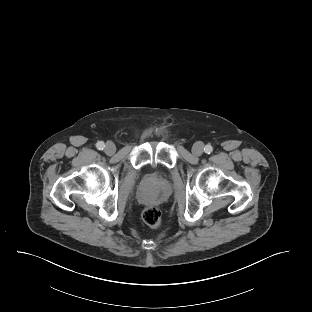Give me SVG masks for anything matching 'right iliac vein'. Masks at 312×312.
I'll return each mask as SVG.
<instances>
[{
	"label": "right iliac vein",
	"mask_w": 312,
	"mask_h": 312,
	"mask_svg": "<svg viewBox=\"0 0 312 312\" xmlns=\"http://www.w3.org/2000/svg\"><path fill=\"white\" fill-rule=\"evenodd\" d=\"M105 153L108 155H112L116 151V146L113 142H107L104 149Z\"/></svg>",
	"instance_id": "right-iliac-vein-1"
}]
</instances>
